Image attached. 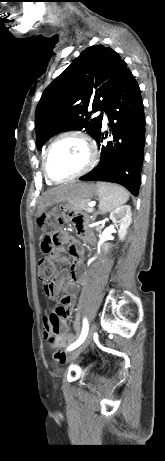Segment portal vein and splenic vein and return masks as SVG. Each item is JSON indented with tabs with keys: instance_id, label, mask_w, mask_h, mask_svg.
<instances>
[{
	"instance_id": "portal-vein-and-splenic-vein-1",
	"label": "portal vein and splenic vein",
	"mask_w": 165,
	"mask_h": 461,
	"mask_svg": "<svg viewBox=\"0 0 165 461\" xmlns=\"http://www.w3.org/2000/svg\"><path fill=\"white\" fill-rule=\"evenodd\" d=\"M96 202H90L88 203V206L90 207V210H93V207L95 206Z\"/></svg>"
}]
</instances>
